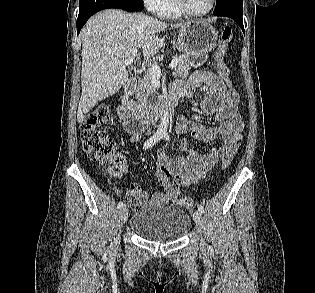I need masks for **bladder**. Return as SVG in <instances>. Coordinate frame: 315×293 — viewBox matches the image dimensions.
I'll return each mask as SVG.
<instances>
[{
  "label": "bladder",
  "instance_id": "bladder-1",
  "mask_svg": "<svg viewBox=\"0 0 315 293\" xmlns=\"http://www.w3.org/2000/svg\"><path fill=\"white\" fill-rule=\"evenodd\" d=\"M191 227V218L179 206L157 203L145 206L130 220L133 233L150 241L173 242L183 238Z\"/></svg>",
  "mask_w": 315,
  "mask_h": 293
}]
</instances>
